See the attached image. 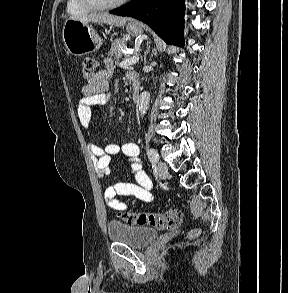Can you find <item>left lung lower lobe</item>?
Listing matches in <instances>:
<instances>
[{
	"mask_svg": "<svg viewBox=\"0 0 288 293\" xmlns=\"http://www.w3.org/2000/svg\"><path fill=\"white\" fill-rule=\"evenodd\" d=\"M184 0H132L109 11L148 24L166 43L184 46Z\"/></svg>",
	"mask_w": 288,
	"mask_h": 293,
	"instance_id": "0a47b994",
	"label": "left lung lower lobe"
}]
</instances>
